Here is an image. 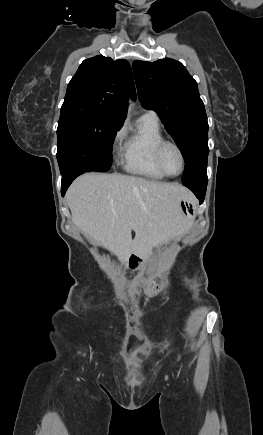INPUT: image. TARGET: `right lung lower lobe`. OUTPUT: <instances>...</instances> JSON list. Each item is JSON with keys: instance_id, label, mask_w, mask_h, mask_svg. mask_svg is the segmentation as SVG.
Instances as JSON below:
<instances>
[{"instance_id": "98d812e1", "label": "right lung lower lobe", "mask_w": 263, "mask_h": 435, "mask_svg": "<svg viewBox=\"0 0 263 435\" xmlns=\"http://www.w3.org/2000/svg\"><path fill=\"white\" fill-rule=\"evenodd\" d=\"M85 172H91V171L90 170L75 169V170H71L68 173L62 175V183H61L62 196H64L67 188L72 183V181L76 177H78L79 175H81Z\"/></svg>"}]
</instances>
